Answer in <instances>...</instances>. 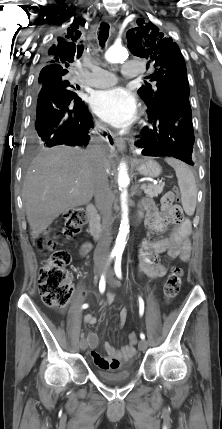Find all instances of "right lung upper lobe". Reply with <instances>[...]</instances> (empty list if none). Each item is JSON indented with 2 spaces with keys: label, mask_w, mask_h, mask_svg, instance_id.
I'll use <instances>...</instances> for the list:
<instances>
[{
  "label": "right lung upper lobe",
  "mask_w": 222,
  "mask_h": 429,
  "mask_svg": "<svg viewBox=\"0 0 222 429\" xmlns=\"http://www.w3.org/2000/svg\"><path fill=\"white\" fill-rule=\"evenodd\" d=\"M77 25H72L68 31L58 37L55 43L46 51L45 66L40 75H66L68 67L79 58L83 52L81 33Z\"/></svg>",
  "instance_id": "right-lung-upper-lobe-1"
}]
</instances>
